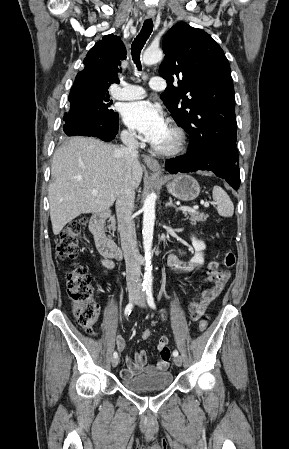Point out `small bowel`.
<instances>
[{
    "instance_id": "1",
    "label": "small bowel",
    "mask_w": 289,
    "mask_h": 449,
    "mask_svg": "<svg viewBox=\"0 0 289 449\" xmlns=\"http://www.w3.org/2000/svg\"><path fill=\"white\" fill-rule=\"evenodd\" d=\"M104 266L107 270L113 268V262L109 259H104ZM169 267L177 272H189L193 269V266L187 262L180 260L176 255L170 254L168 256ZM230 278V272L219 269L218 263L211 261L208 263L207 276L204 280L205 283H213L214 286L209 289H205L201 292L198 300H194L189 304L190 316L193 320H197L201 317L211 302L221 293L225 284ZM116 344L120 350L125 348V341L120 334L115 337ZM158 354L162 358L157 361L155 365H148V356L146 351H138L133 358H126V367L120 371V376L123 379L132 378L142 372L151 373L154 371H164L168 369L169 359L171 357L170 345L168 344V338L162 336L159 339Z\"/></svg>"
}]
</instances>
